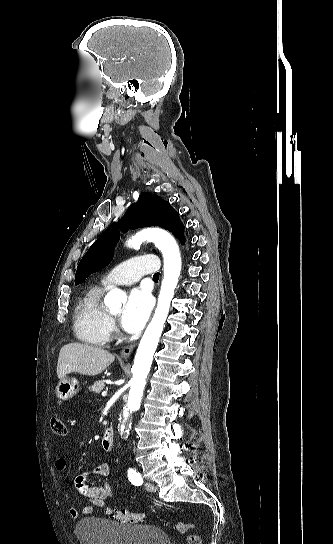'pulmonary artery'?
<instances>
[{"label": "pulmonary artery", "mask_w": 333, "mask_h": 544, "mask_svg": "<svg viewBox=\"0 0 333 544\" xmlns=\"http://www.w3.org/2000/svg\"><path fill=\"white\" fill-rule=\"evenodd\" d=\"M158 260L152 255L132 257L110 270L101 280L104 286L129 285L137 282L143 275L155 273Z\"/></svg>", "instance_id": "obj_1"}]
</instances>
